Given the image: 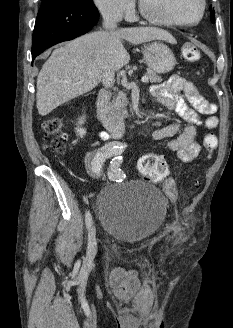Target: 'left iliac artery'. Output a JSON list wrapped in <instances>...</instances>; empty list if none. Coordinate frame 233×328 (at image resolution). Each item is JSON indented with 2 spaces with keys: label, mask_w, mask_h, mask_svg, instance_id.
<instances>
[{
  "label": "left iliac artery",
  "mask_w": 233,
  "mask_h": 328,
  "mask_svg": "<svg viewBox=\"0 0 233 328\" xmlns=\"http://www.w3.org/2000/svg\"><path fill=\"white\" fill-rule=\"evenodd\" d=\"M122 163V156H116L112 159L111 165L108 170V177L111 180L122 182V180L125 178V174L120 168V164Z\"/></svg>",
  "instance_id": "left-iliac-artery-1"
}]
</instances>
